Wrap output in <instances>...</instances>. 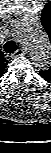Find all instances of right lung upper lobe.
Here are the masks:
<instances>
[{"label":"right lung upper lobe","mask_w":51,"mask_h":153,"mask_svg":"<svg viewBox=\"0 0 51 153\" xmlns=\"http://www.w3.org/2000/svg\"><path fill=\"white\" fill-rule=\"evenodd\" d=\"M7 63V60L4 58L3 53L0 50V78L2 77L5 71Z\"/></svg>","instance_id":"cb5924a9"}]
</instances>
